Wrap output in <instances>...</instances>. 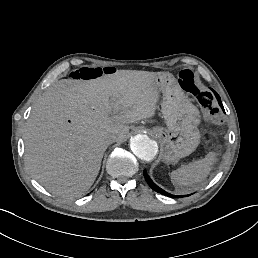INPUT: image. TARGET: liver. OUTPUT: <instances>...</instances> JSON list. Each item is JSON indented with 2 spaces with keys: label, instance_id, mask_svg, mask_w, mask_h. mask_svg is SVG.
Masks as SVG:
<instances>
[{
  "label": "liver",
  "instance_id": "6515ba94",
  "mask_svg": "<svg viewBox=\"0 0 258 258\" xmlns=\"http://www.w3.org/2000/svg\"><path fill=\"white\" fill-rule=\"evenodd\" d=\"M158 74L119 70L92 80L62 79L50 86L34 104L24 128V160L32 176L59 197L72 199L86 192L107 148L104 136L112 133L125 140L127 123L154 114L157 92L150 84Z\"/></svg>",
  "mask_w": 258,
  "mask_h": 258
}]
</instances>
